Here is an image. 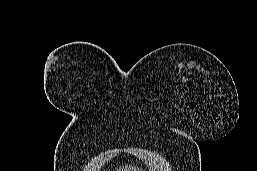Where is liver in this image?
Wrapping results in <instances>:
<instances>
[{"instance_id": "liver-1", "label": "liver", "mask_w": 257, "mask_h": 171, "mask_svg": "<svg viewBox=\"0 0 257 171\" xmlns=\"http://www.w3.org/2000/svg\"><path fill=\"white\" fill-rule=\"evenodd\" d=\"M116 171H139V168H137V167H133V166H123V168L121 169H117Z\"/></svg>"}]
</instances>
